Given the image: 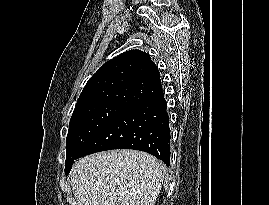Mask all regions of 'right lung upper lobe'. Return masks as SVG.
I'll return each mask as SVG.
<instances>
[{
    "mask_svg": "<svg viewBox=\"0 0 269 205\" xmlns=\"http://www.w3.org/2000/svg\"><path fill=\"white\" fill-rule=\"evenodd\" d=\"M162 92L159 71L149 54L131 50L97 70L85 85L75 109L97 104L128 107Z\"/></svg>",
    "mask_w": 269,
    "mask_h": 205,
    "instance_id": "cb5924a9",
    "label": "right lung upper lobe"
}]
</instances>
